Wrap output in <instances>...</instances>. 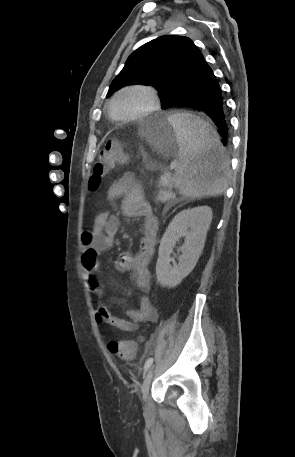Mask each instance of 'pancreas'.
<instances>
[{
	"mask_svg": "<svg viewBox=\"0 0 295 457\" xmlns=\"http://www.w3.org/2000/svg\"><path fill=\"white\" fill-rule=\"evenodd\" d=\"M160 191L157 194L156 199L158 201H171L174 199L175 195L171 191L172 182L169 180L166 185H163L159 182Z\"/></svg>",
	"mask_w": 295,
	"mask_h": 457,
	"instance_id": "obj_1",
	"label": "pancreas"
}]
</instances>
